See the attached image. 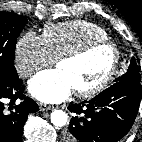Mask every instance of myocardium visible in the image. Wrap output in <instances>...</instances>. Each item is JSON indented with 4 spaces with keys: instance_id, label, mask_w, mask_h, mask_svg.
Returning <instances> with one entry per match:
<instances>
[{
    "instance_id": "1",
    "label": "myocardium",
    "mask_w": 142,
    "mask_h": 142,
    "mask_svg": "<svg viewBox=\"0 0 142 142\" xmlns=\"http://www.w3.org/2000/svg\"><path fill=\"white\" fill-rule=\"evenodd\" d=\"M102 47H107L113 54V60L107 73L96 84L83 88L75 89V93L81 97H91L101 92L114 78L120 63L121 53L119 48L111 41L108 40H94L88 42L72 51L62 54L56 59V65L65 61H74L85 57L94 50Z\"/></svg>"
}]
</instances>
